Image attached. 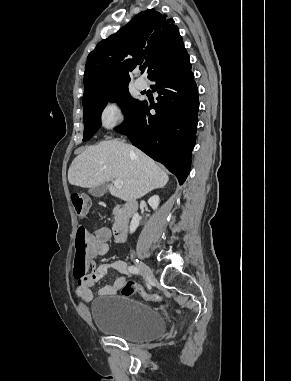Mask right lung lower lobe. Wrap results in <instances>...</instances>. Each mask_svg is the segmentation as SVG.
Here are the masks:
<instances>
[{"label":"right lung lower lobe","mask_w":291,"mask_h":381,"mask_svg":"<svg viewBox=\"0 0 291 381\" xmlns=\"http://www.w3.org/2000/svg\"><path fill=\"white\" fill-rule=\"evenodd\" d=\"M149 79L156 82L152 88L159 94L157 103L141 101L115 130L127 135L134 146L162 163L183 184L190 171L199 110L198 89L186 50Z\"/></svg>","instance_id":"1"}]
</instances>
